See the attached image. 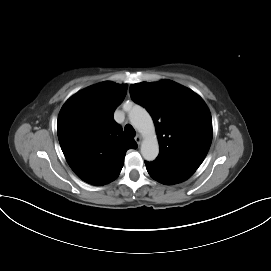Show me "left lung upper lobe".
I'll return each mask as SVG.
<instances>
[{
  "instance_id": "left-lung-upper-lobe-1",
  "label": "left lung upper lobe",
  "mask_w": 271,
  "mask_h": 271,
  "mask_svg": "<svg viewBox=\"0 0 271 271\" xmlns=\"http://www.w3.org/2000/svg\"><path fill=\"white\" fill-rule=\"evenodd\" d=\"M130 93L154 120L160 146L157 160L196 171L212 141V119L203 99L171 80L132 84Z\"/></svg>"
}]
</instances>
